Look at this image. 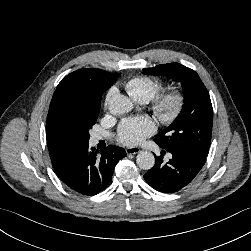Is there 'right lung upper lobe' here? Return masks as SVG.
Listing matches in <instances>:
<instances>
[{"label": "right lung upper lobe", "instance_id": "cb5924a9", "mask_svg": "<svg viewBox=\"0 0 251 251\" xmlns=\"http://www.w3.org/2000/svg\"><path fill=\"white\" fill-rule=\"evenodd\" d=\"M120 76L101 69H81L64 77L58 84L48 111L46 137L52 165L83 145L76 123L77 97L84 90L103 92Z\"/></svg>", "mask_w": 251, "mask_h": 251}]
</instances>
